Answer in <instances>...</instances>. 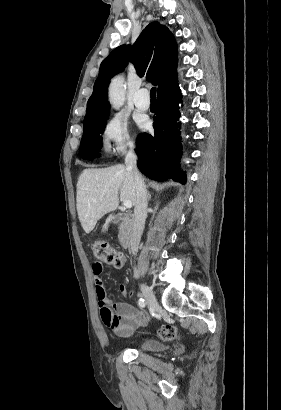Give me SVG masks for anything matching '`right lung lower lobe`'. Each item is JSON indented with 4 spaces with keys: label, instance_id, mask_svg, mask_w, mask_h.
<instances>
[{
    "label": "right lung lower lobe",
    "instance_id": "right-lung-lower-lobe-1",
    "mask_svg": "<svg viewBox=\"0 0 281 410\" xmlns=\"http://www.w3.org/2000/svg\"><path fill=\"white\" fill-rule=\"evenodd\" d=\"M181 98L178 84L159 92L153 123L155 134L142 133L137 137V166L153 180L186 181L185 174L179 172L181 137L177 120Z\"/></svg>",
    "mask_w": 281,
    "mask_h": 410
}]
</instances>
